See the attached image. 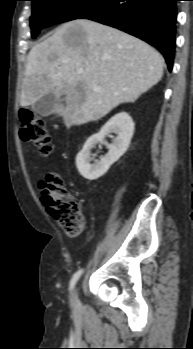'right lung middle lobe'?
Masks as SVG:
<instances>
[{
    "mask_svg": "<svg viewBox=\"0 0 193 349\" xmlns=\"http://www.w3.org/2000/svg\"><path fill=\"white\" fill-rule=\"evenodd\" d=\"M30 25L35 38L42 28L78 19L100 0H31Z\"/></svg>",
    "mask_w": 193,
    "mask_h": 349,
    "instance_id": "dd1d6c3e",
    "label": "right lung middle lobe"
}]
</instances>
